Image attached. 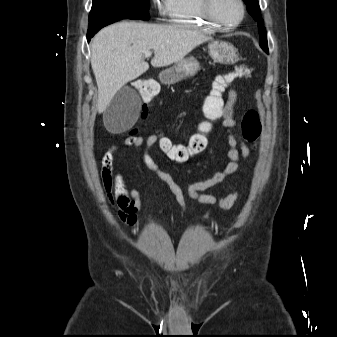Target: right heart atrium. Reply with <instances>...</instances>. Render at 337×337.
I'll use <instances>...</instances> for the list:
<instances>
[{
	"mask_svg": "<svg viewBox=\"0 0 337 337\" xmlns=\"http://www.w3.org/2000/svg\"><path fill=\"white\" fill-rule=\"evenodd\" d=\"M159 8L160 12L165 11L166 0H153Z\"/></svg>",
	"mask_w": 337,
	"mask_h": 337,
	"instance_id": "d8ad5b80",
	"label": "right heart atrium"
}]
</instances>
